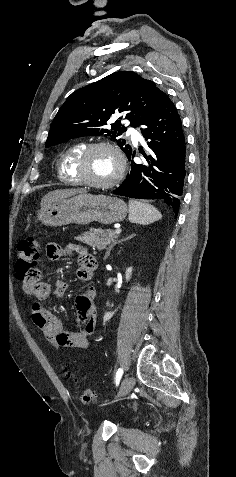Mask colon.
I'll use <instances>...</instances> for the list:
<instances>
[{
	"instance_id": "colon-1",
	"label": "colon",
	"mask_w": 236,
	"mask_h": 477,
	"mask_svg": "<svg viewBox=\"0 0 236 477\" xmlns=\"http://www.w3.org/2000/svg\"><path fill=\"white\" fill-rule=\"evenodd\" d=\"M39 261L40 250L38 243L31 238L21 241L18 245L15 272L30 293L34 292L40 283ZM67 377L76 384L78 383L72 373L69 372ZM78 399L83 404L92 403L95 400V393L90 388H80Z\"/></svg>"
}]
</instances>
